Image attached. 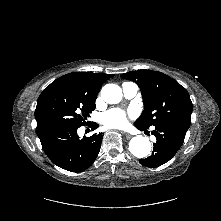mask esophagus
Returning <instances> with one entry per match:
<instances>
[{
  "label": "esophagus",
  "mask_w": 221,
  "mask_h": 221,
  "mask_svg": "<svg viewBox=\"0 0 221 221\" xmlns=\"http://www.w3.org/2000/svg\"><path fill=\"white\" fill-rule=\"evenodd\" d=\"M123 134L127 137V138H131V134L127 133V132H123Z\"/></svg>",
  "instance_id": "34e87169"
}]
</instances>
